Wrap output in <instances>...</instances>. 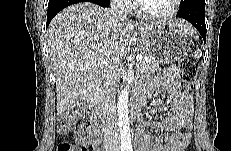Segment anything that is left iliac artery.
Listing matches in <instances>:
<instances>
[{
  "instance_id": "1",
  "label": "left iliac artery",
  "mask_w": 231,
  "mask_h": 151,
  "mask_svg": "<svg viewBox=\"0 0 231 151\" xmlns=\"http://www.w3.org/2000/svg\"><path fill=\"white\" fill-rule=\"evenodd\" d=\"M126 150H127V151H133L132 145L128 144V145L126 146Z\"/></svg>"
}]
</instances>
